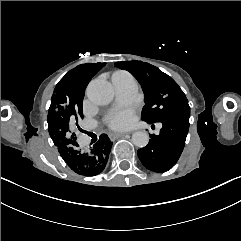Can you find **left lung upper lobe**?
Masks as SVG:
<instances>
[{
	"label": "left lung upper lobe",
	"instance_id": "obj_1",
	"mask_svg": "<svg viewBox=\"0 0 241 241\" xmlns=\"http://www.w3.org/2000/svg\"><path fill=\"white\" fill-rule=\"evenodd\" d=\"M115 65L129 71L141 84L145 95L143 121L153 124L190 113L188 100L181 88L157 67L142 61L116 62Z\"/></svg>",
	"mask_w": 241,
	"mask_h": 241
}]
</instances>
